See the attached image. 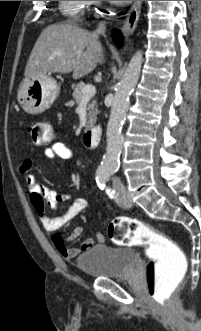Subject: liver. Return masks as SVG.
I'll return each mask as SVG.
<instances>
[{"label": "liver", "mask_w": 201, "mask_h": 331, "mask_svg": "<svg viewBox=\"0 0 201 331\" xmlns=\"http://www.w3.org/2000/svg\"><path fill=\"white\" fill-rule=\"evenodd\" d=\"M103 61V48L97 34L72 23H57L48 26L40 34L24 75L40 77L73 71V78H79Z\"/></svg>", "instance_id": "1"}]
</instances>
